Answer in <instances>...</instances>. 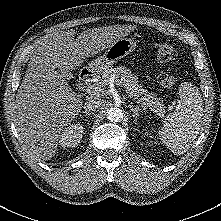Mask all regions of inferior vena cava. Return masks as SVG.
<instances>
[{"mask_svg":"<svg viewBox=\"0 0 221 221\" xmlns=\"http://www.w3.org/2000/svg\"><path fill=\"white\" fill-rule=\"evenodd\" d=\"M104 101L100 98H91L84 104L85 111H95L103 105Z\"/></svg>","mask_w":221,"mask_h":221,"instance_id":"inferior-vena-cava-1","label":"inferior vena cava"}]
</instances>
